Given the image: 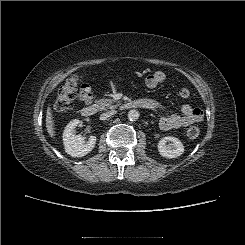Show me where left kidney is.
I'll return each mask as SVG.
<instances>
[{
    "label": "left kidney",
    "mask_w": 245,
    "mask_h": 245,
    "mask_svg": "<svg viewBox=\"0 0 245 245\" xmlns=\"http://www.w3.org/2000/svg\"><path fill=\"white\" fill-rule=\"evenodd\" d=\"M168 141L171 143L166 145V142ZM158 152L164 158H177L184 153V146L178 138L167 136L159 141Z\"/></svg>",
    "instance_id": "5707ae66"
}]
</instances>
